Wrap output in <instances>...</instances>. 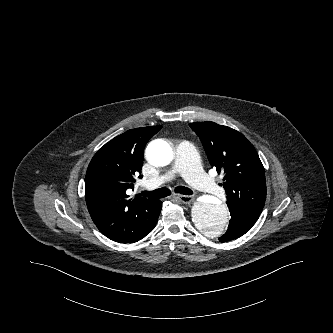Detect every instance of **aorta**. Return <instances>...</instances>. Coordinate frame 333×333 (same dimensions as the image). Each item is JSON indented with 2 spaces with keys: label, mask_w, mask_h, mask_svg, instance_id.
I'll list each match as a JSON object with an SVG mask.
<instances>
[{
  "label": "aorta",
  "mask_w": 333,
  "mask_h": 333,
  "mask_svg": "<svg viewBox=\"0 0 333 333\" xmlns=\"http://www.w3.org/2000/svg\"><path fill=\"white\" fill-rule=\"evenodd\" d=\"M146 158L153 166L164 167L172 162L173 151L166 141L155 140L148 145ZM191 213L196 228L209 237L220 236L228 229V209L215 198L196 201Z\"/></svg>",
  "instance_id": "1"
}]
</instances>
